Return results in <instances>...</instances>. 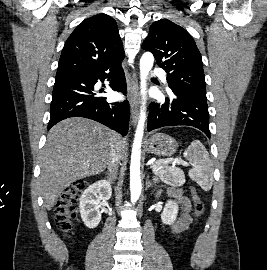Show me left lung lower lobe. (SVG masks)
Instances as JSON below:
<instances>
[{
	"label": "left lung lower lobe",
	"instance_id": "left-lung-lower-lobe-1",
	"mask_svg": "<svg viewBox=\"0 0 267 270\" xmlns=\"http://www.w3.org/2000/svg\"><path fill=\"white\" fill-rule=\"evenodd\" d=\"M172 92L174 97L166 98L165 102L150 104L147 130L187 125L200 129L210 138L207 100L184 92Z\"/></svg>",
	"mask_w": 267,
	"mask_h": 270
}]
</instances>
